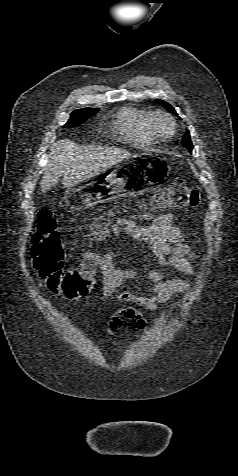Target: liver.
Returning a JSON list of instances; mask_svg holds the SVG:
<instances>
[{
    "label": "liver",
    "mask_w": 238,
    "mask_h": 476,
    "mask_svg": "<svg viewBox=\"0 0 238 476\" xmlns=\"http://www.w3.org/2000/svg\"><path fill=\"white\" fill-rule=\"evenodd\" d=\"M130 156V153L116 147H83L69 139L58 140L49 152L48 162L40 186L42 191L50 190L59 182L66 188L88 180L102 171Z\"/></svg>",
    "instance_id": "liver-1"
}]
</instances>
